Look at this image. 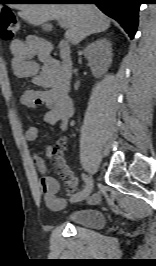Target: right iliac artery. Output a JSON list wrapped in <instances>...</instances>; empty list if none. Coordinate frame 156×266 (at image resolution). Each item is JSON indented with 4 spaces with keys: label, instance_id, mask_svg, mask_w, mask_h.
I'll use <instances>...</instances> for the list:
<instances>
[{
    "label": "right iliac artery",
    "instance_id": "82829eb1",
    "mask_svg": "<svg viewBox=\"0 0 156 266\" xmlns=\"http://www.w3.org/2000/svg\"><path fill=\"white\" fill-rule=\"evenodd\" d=\"M82 179L85 181V185H88V182H87L88 177L86 174H82Z\"/></svg>",
    "mask_w": 156,
    "mask_h": 266
}]
</instances>
